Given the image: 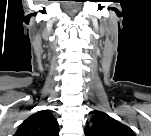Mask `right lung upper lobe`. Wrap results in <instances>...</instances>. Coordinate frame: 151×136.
Listing matches in <instances>:
<instances>
[{"label": "right lung upper lobe", "mask_w": 151, "mask_h": 136, "mask_svg": "<svg viewBox=\"0 0 151 136\" xmlns=\"http://www.w3.org/2000/svg\"><path fill=\"white\" fill-rule=\"evenodd\" d=\"M16 136H59V126L48 110L29 116L18 128Z\"/></svg>", "instance_id": "right-lung-upper-lobe-1"}]
</instances>
